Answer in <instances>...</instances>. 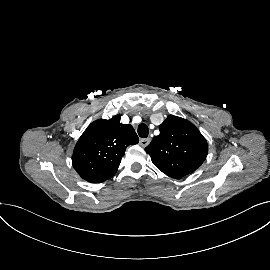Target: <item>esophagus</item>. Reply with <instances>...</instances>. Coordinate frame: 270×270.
<instances>
[{
    "label": "esophagus",
    "instance_id": "1",
    "mask_svg": "<svg viewBox=\"0 0 270 270\" xmlns=\"http://www.w3.org/2000/svg\"><path fill=\"white\" fill-rule=\"evenodd\" d=\"M149 143H150V139L149 138H143V139H140V141H139V144L142 147L148 146Z\"/></svg>",
    "mask_w": 270,
    "mask_h": 270
}]
</instances>
